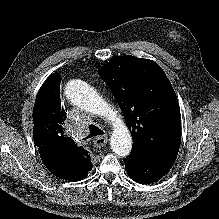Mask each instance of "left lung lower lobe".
<instances>
[{
    "label": "left lung lower lobe",
    "instance_id": "obj_1",
    "mask_svg": "<svg viewBox=\"0 0 219 219\" xmlns=\"http://www.w3.org/2000/svg\"><path fill=\"white\" fill-rule=\"evenodd\" d=\"M176 157H161L145 151L130 153L124 159L129 176L137 183L148 184L158 181L173 166Z\"/></svg>",
    "mask_w": 219,
    "mask_h": 219
}]
</instances>
